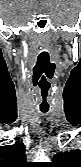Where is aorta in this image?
Masks as SVG:
<instances>
[{"label": "aorta", "mask_w": 81, "mask_h": 167, "mask_svg": "<svg viewBox=\"0 0 81 167\" xmlns=\"http://www.w3.org/2000/svg\"><path fill=\"white\" fill-rule=\"evenodd\" d=\"M36 160L39 162H47L49 158L44 155H40V156H37Z\"/></svg>", "instance_id": "762f6f07"}]
</instances>
